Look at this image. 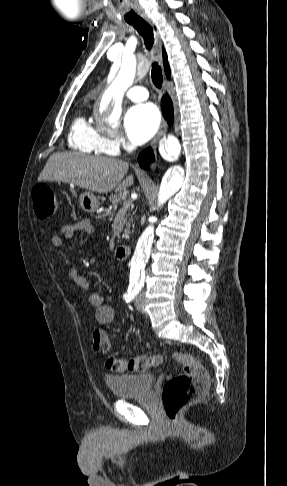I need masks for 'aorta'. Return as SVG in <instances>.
Listing matches in <instances>:
<instances>
[{
	"instance_id": "aorta-1",
	"label": "aorta",
	"mask_w": 287,
	"mask_h": 486,
	"mask_svg": "<svg viewBox=\"0 0 287 486\" xmlns=\"http://www.w3.org/2000/svg\"><path fill=\"white\" fill-rule=\"evenodd\" d=\"M136 74V66L132 62L124 61L107 89L106 97L98 100L96 117L103 123L116 126L121 115V99L124 92L131 86ZM167 153L173 157H178L181 145L174 135H169L165 142ZM184 177L181 169L174 170L169 178L165 180L159 191V205L163 204L174 195L182 186ZM154 241L153 227H147L140 235L134 255L131 260L130 281L142 283L144 265L148 260Z\"/></svg>"
}]
</instances>
